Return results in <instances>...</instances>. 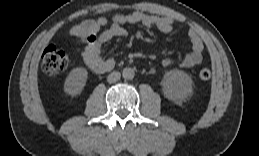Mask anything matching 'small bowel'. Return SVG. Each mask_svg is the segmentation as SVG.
<instances>
[{
	"label": "small bowel",
	"instance_id": "1",
	"mask_svg": "<svg viewBox=\"0 0 259 156\" xmlns=\"http://www.w3.org/2000/svg\"><path fill=\"white\" fill-rule=\"evenodd\" d=\"M139 23L146 28H156L164 33L175 30V20L168 16L148 15L139 11L131 13H117L110 20L106 17L83 21L70 30V37L77 46V52L86 65L97 73L111 70L114 60L102 58L101 46L113 38H124L127 33L123 25ZM108 26L106 29L102 28ZM188 37L191 43V52L180 62L182 68H191L202 62L204 45L199 33L190 29ZM172 63L170 58L161 61L162 66L168 67Z\"/></svg>",
	"mask_w": 259,
	"mask_h": 156
}]
</instances>
